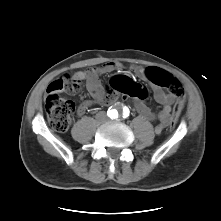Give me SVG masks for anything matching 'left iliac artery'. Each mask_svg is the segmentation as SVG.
<instances>
[{"instance_id":"left-iliac-artery-1","label":"left iliac artery","mask_w":221,"mask_h":221,"mask_svg":"<svg viewBox=\"0 0 221 221\" xmlns=\"http://www.w3.org/2000/svg\"><path fill=\"white\" fill-rule=\"evenodd\" d=\"M128 115H129V109L127 107H125L123 109V117L126 118ZM117 117H118V115L114 118H117Z\"/></svg>"}]
</instances>
